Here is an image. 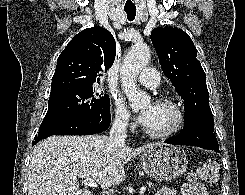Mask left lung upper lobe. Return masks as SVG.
<instances>
[{
    "instance_id": "obj_1",
    "label": "left lung upper lobe",
    "mask_w": 245,
    "mask_h": 195,
    "mask_svg": "<svg viewBox=\"0 0 245 195\" xmlns=\"http://www.w3.org/2000/svg\"><path fill=\"white\" fill-rule=\"evenodd\" d=\"M151 41L164 74L184 100L186 125L214 127L206 75L196 59L197 49L191 38L181 29L166 27L153 29Z\"/></svg>"
}]
</instances>
